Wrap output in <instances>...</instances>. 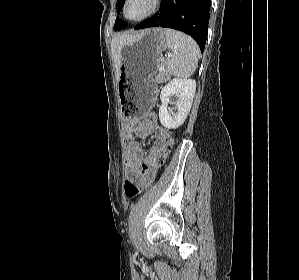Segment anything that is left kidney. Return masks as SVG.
<instances>
[{
    "label": "left kidney",
    "instance_id": "1",
    "mask_svg": "<svg viewBox=\"0 0 299 280\" xmlns=\"http://www.w3.org/2000/svg\"><path fill=\"white\" fill-rule=\"evenodd\" d=\"M196 92V81L193 79H172L161 90L162 105L159 108L161 124L168 129L180 127L190 112ZM177 97L175 112L168 110L170 97Z\"/></svg>",
    "mask_w": 299,
    "mask_h": 280
}]
</instances>
